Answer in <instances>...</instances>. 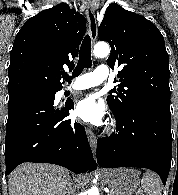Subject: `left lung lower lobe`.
<instances>
[{
	"instance_id": "0a47b994",
	"label": "left lung lower lobe",
	"mask_w": 178,
	"mask_h": 195,
	"mask_svg": "<svg viewBox=\"0 0 178 195\" xmlns=\"http://www.w3.org/2000/svg\"><path fill=\"white\" fill-rule=\"evenodd\" d=\"M114 116L117 133L97 140L98 164L103 168H148L165 185L172 159L171 116L146 109Z\"/></svg>"
}]
</instances>
